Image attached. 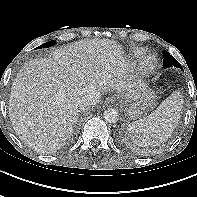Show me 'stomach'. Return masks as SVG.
Instances as JSON below:
<instances>
[{
	"mask_svg": "<svg viewBox=\"0 0 197 197\" xmlns=\"http://www.w3.org/2000/svg\"><path fill=\"white\" fill-rule=\"evenodd\" d=\"M155 104V93L147 87H139L124 103L125 116L128 119H137Z\"/></svg>",
	"mask_w": 197,
	"mask_h": 197,
	"instance_id": "stomach-1",
	"label": "stomach"
}]
</instances>
